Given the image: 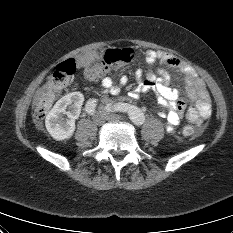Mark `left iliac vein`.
<instances>
[{
  "mask_svg": "<svg viewBox=\"0 0 233 233\" xmlns=\"http://www.w3.org/2000/svg\"><path fill=\"white\" fill-rule=\"evenodd\" d=\"M100 111L103 112L106 115L107 120L110 121H119L123 120L124 118L122 116L110 113L107 108H100Z\"/></svg>",
  "mask_w": 233,
  "mask_h": 233,
  "instance_id": "1",
  "label": "left iliac vein"
}]
</instances>
